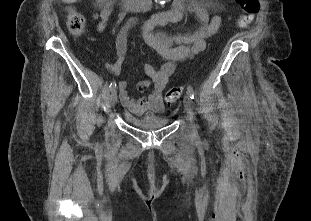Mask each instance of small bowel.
Segmentation results:
<instances>
[{
	"label": "small bowel",
	"mask_w": 311,
	"mask_h": 221,
	"mask_svg": "<svg viewBox=\"0 0 311 221\" xmlns=\"http://www.w3.org/2000/svg\"><path fill=\"white\" fill-rule=\"evenodd\" d=\"M99 11L92 14L93 19H100L97 26L99 32L106 27L115 0H101ZM195 13L199 25L196 29L169 35L156 30L158 26L180 23L185 19L186 13ZM221 25L219 16L210 17L206 9L198 0H174L173 8L153 15L148 20L141 21L139 26L144 41L165 59L159 68L152 63H145L144 70L150 79L137 84V89L144 92L152 87V91L139 98L133 99L127 91V83L119 81V96L124 106L133 114L142 115L146 112L161 113L164 111L163 94L169 77L175 72L177 63L191 59L205 50V38L215 34ZM133 26V25H132ZM129 26L124 27L117 38L118 59L109 66L113 74H117L125 62L126 41Z\"/></svg>",
	"instance_id": "1"
}]
</instances>
